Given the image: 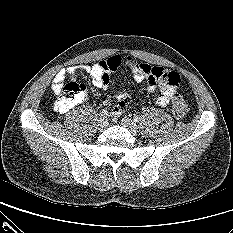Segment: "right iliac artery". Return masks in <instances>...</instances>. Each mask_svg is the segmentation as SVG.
<instances>
[{"label": "right iliac artery", "instance_id": "right-iliac-artery-1", "mask_svg": "<svg viewBox=\"0 0 233 233\" xmlns=\"http://www.w3.org/2000/svg\"><path fill=\"white\" fill-rule=\"evenodd\" d=\"M100 116H101V118H107V116H108V111L107 110H102V112L100 113Z\"/></svg>", "mask_w": 233, "mask_h": 233}]
</instances>
